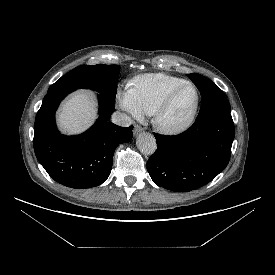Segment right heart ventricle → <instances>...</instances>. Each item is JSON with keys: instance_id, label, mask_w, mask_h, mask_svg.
Returning a JSON list of instances; mask_svg holds the SVG:
<instances>
[{"instance_id": "1", "label": "right heart ventricle", "mask_w": 275, "mask_h": 275, "mask_svg": "<svg viewBox=\"0 0 275 275\" xmlns=\"http://www.w3.org/2000/svg\"><path fill=\"white\" fill-rule=\"evenodd\" d=\"M184 79L163 73L145 74L133 83L135 101L145 115H151L165 95Z\"/></svg>"}]
</instances>
